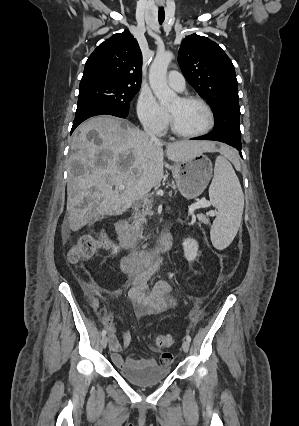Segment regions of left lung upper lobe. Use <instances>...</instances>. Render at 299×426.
Masks as SVG:
<instances>
[{"label":"left lung upper lobe","mask_w":299,"mask_h":426,"mask_svg":"<svg viewBox=\"0 0 299 426\" xmlns=\"http://www.w3.org/2000/svg\"><path fill=\"white\" fill-rule=\"evenodd\" d=\"M178 63L187 81L212 106L215 128L210 134L241 143L237 79L222 48L207 37L189 35L182 41Z\"/></svg>","instance_id":"obj_1"}]
</instances>
